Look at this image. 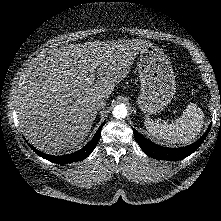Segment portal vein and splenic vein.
<instances>
[{"instance_id": "1", "label": "portal vein and splenic vein", "mask_w": 221, "mask_h": 221, "mask_svg": "<svg viewBox=\"0 0 221 221\" xmlns=\"http://www.w3.org/2000/svg\"><path fill=\"white\" fill-rule=\"evenodd\" d=\"M91 72H93V71H91ZM94 76H95V75H94L93 73H91L90 76L88 77V79H89L90 81H93V80H94Z\"/></svg>"}]
</instances>
